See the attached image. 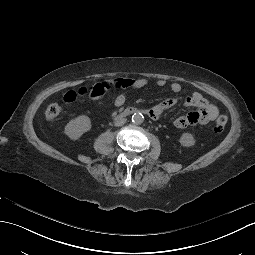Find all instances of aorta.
<instances>
[{"label": "aorta", "instance_id": "762f6f07", "mask_svg": "<svg viewBox=\"0 0 255 255\" xmlns=\"http://www.w3.org/2000/svg\"><path fill=\"white\" fill-rule=\"evenodd\" d=\"M144 121V116L141 113H134L132 115V122L136 125L142 124Z\"/></svg>", "mask_w": 255, "mask_h": 255}]
</instances>
